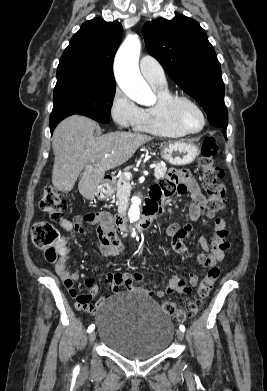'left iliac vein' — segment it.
<instances>
[{"mask_svg": "<svg viewBox=\"0 0 267 391\" xmlns=\"http://www.w3.org/2000/svg\"><path fill=\"white\" fill-rule=\"evenodd\" d=\"M176 335H177V338H178L179 340H183V339H184V332H183V331L177 330V331H176Z\"/></svg>", "mask_w": 267, "mask_h": 391, "instance_id": "obj_1", "label": "left iliac vein"}]
</instances>
